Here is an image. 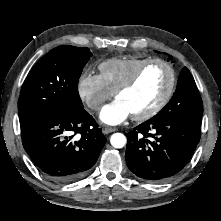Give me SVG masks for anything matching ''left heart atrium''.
Wrapping results in <instances>:
<instances>
[{"instance_id": "39dd6f15", "label": "left heart atrium", "mask_w": 221, "mask_h": 221, "mask_svg": "<svg viewBox=\"0 0 221 221\" xmlns=\"http://www.w3.org/2000/svg\"><path fill=\"white\" fill-rule=\"evenodd\" d=\"M131 115L129 108L119 99L103 107L100 113L102 122L116 125L126 120Z\"/></svg>"}]
</instances>
